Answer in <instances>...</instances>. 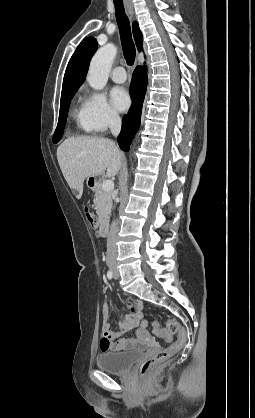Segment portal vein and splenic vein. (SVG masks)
<instances>
[{"instance_id":"obj_1","label":"portal vein and splenic vein","mask_w":255,"mask_h":418,"mask_svg":"<svg viewBox=\"0 0 255 418\" xmlns=\"http://www.w3.org/2000/svg\"><path fill=\"white\" fill-rule=\"evenodd\" d=\"M102 188L105 191H110V190H112L114 188V182L112 180H105L102 183Z\"/></svg>"}]
</instances>
